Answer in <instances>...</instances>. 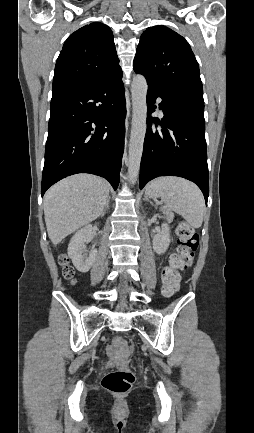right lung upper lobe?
Returning a JSON list of instances; mask_svg holds the SVG:
<instances>
[{
    "mask_svg": "<svg viewBox=\"0 0 254 433\" xmlns=\"http://www.w3.org/2000/svg\"><path fill=\"white\" fill-rule=\"evenodd\" d=\"M122 76L113 33L94 22L72 33L57 59L52 89L96 84Z\"/></svg>",
    "mask_w": 254,
    "mask_h": 433,
    "instance_id": "right-lung-upper-lobe-1",
    "label": "right lung upper lobe"
}]
</instances>
